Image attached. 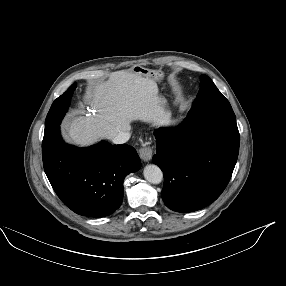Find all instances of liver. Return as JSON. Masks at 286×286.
Masks as SVG:
<instances>
[{
	"mask_svg": "<svg viewBox=\"0 0 286 286\" xmlns=\"http://www.w3.org/2000/svg\"><path fill=\"white\" fill-rule=\"evenodd\" d=\"M96 114L77 116L63 127L75 144L87 146L99 138L112 139L130 129V122L142 120L154 126L168 122L164 100L158 96L156 81L132 70L113 72L107 82L96 84L87 96Z\"/></svg>",
	"mask_w": 286,
	"mask_h": 286,
	"instance_id": "6515ba94",
	"label": "liver"
}]
</instances>
